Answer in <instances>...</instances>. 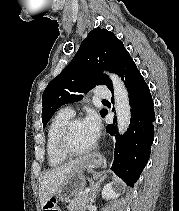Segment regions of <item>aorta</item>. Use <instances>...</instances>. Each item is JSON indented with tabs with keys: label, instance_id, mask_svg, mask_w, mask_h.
Returning a JSON list of instances; mask_svg holds the SVG:
<instances>
[{
	"label": "aorta",
	"instance_id": "1",
	"mask_svg": "<svg viewBox=\"0 0 179 211\" xmlns=\"http://www.w3.org/2000/svg\"><path fill=\"white\" fill-rule=\"evenodd\" d=\"M106 73L113 83L118 132L124 134L127 131L131 120L128 92L118 75L109 72Z\"/></svg>",
	"mask_w": 179,
	"mask_h": 211
}]
</instances>
